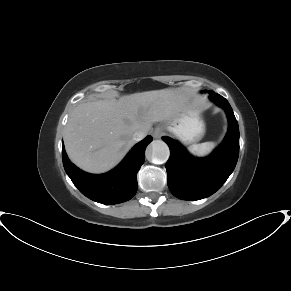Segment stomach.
Segmentation results:
<instances>
[{
	"mask_svg": "<svg viewBox=\"0 0 291 291\" xmlns=\"http://www.w3.org/2000/svg\"><path fill=\"white\" fill-rule=\"evenodd\" d=\"M164 125L185 144L196 143L205 134V123L200 112L188 101L184 102L177 115L165 121Z\"/></svg>",
	"mask_w": 291,
	"mask_h": 291,
	"instance_id": "obj_1",
	"label": "stomach"
}]
</instances>
